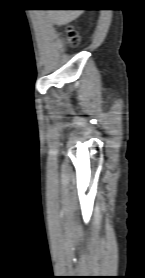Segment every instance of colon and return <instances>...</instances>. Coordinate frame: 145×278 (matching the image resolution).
<instances>
[{"label":"colon","mask_w":145,"mask_h":278,"mask_svg":"<svg viewBox=\"0 0 145 278\" xmlns=\"http://www.w3.org/2000/svg\"><path fill=\"white\" fill-rule=\"evenodd\" d=\"M65 40L68 44L74 46L77 44L78 42V37H77V34L74 30L72 29H68L65 33Z\"/></svg>","instance_id":"1"}]
</instances>
